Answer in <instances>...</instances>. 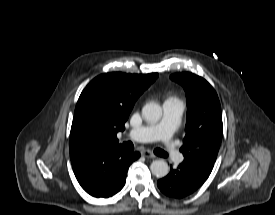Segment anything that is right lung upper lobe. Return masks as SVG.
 I'll list each match as a JSON object with an SVG mask.
<instances>
[{
  "mask_svg": "<svg viewBox=\"0 0 275 215\" xmlns=\"http://www.w3.org/2000/svg\"><path fill=\"white\" fill-rule=\"evenodd\" d=\"M158 77L147 75L105 73L93 79L82 91L74 113L70 133V158L76 159L96 146L117 145V132L137 98Z\"/></svg>",
  "mask_w": 275,
  "mask_h": 215,
  "instance_id": "obj_1",
  "label": "right lung upper lobe"
}]
</instances>
